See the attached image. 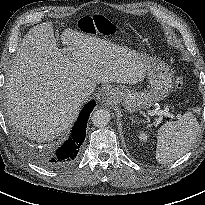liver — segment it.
Masks as SVG:
<instances>
[{
    "instance_id": "1",
    "label": "liver",
    "mask_w": 205,
    "mask_h": 205,
    "mask_svg": "<svg viewBox=\"0 0 205 205\" xmlns=\"http://www.w3.org/2000/svg\"><path fill=\"white\" fill-rule=\"evenodd\" d=\"M59 49L51 23L23 38L7 72L5 94L9 123L26 137L51 141L74 122L82 103L77 90L97 83L136 84L146 65L133 51L83 32L65 29Z\"/></svg>"
}]
</instances>
